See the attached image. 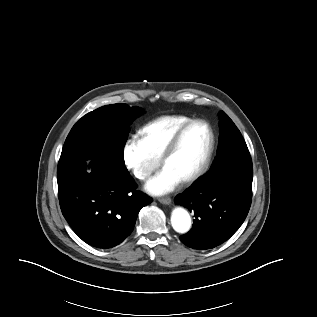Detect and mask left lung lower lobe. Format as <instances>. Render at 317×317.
I'll use <instances>...</instances> for the list:
<instances>
[{
    "instance_id": "0a47b994",
    "label": "left lung lower lobe",
    "mask_w": 317,
    "mask_h": 317,
    "mask_svg": "<svg viewBox=\"0 0 317 317\" xmlns=\"http://www.w3.org/2000/svg\"><path fill=\"white\" fill-rule=\"evenodd\" d=\"M253 168L231 166L219 175H205L175 197L194 213L192 229L180 237L195 249H212L227 240L244 222L252 200Z\"/></svg>"
}]
</instances>
